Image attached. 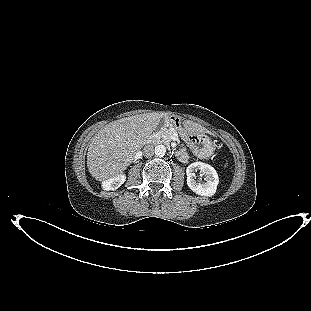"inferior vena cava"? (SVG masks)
Returning <instances> with one entry per match:
<instances>
[{"instance_id":"obj_1","label":"inferior vena cava","mask_w":311,"mask_h":311,"mask_svg":"<svg viewBox=\"0 0 311 311\" xmlns=\"http://www.w3.org/2000/svg\"><path fill=\"white\" fill-rule=\"evenodd\" d=\"M143 153L144 156L148 157H152L154 155V147L153 145H146L143 149Z\"/></svg>"}]
</instances>
